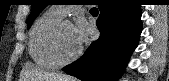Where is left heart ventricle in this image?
Masks as SVG:
<instances>
[{"label": "left heart ventricle", "mask_w": 169, "mask_h": 81, "mask_svg": "<svg viewBox=\"0 0 169 81\" xmlns=\"http://www.w3.org/2000/svg\"><path fill=\"white\" fill-rule=\"evenodd\" d=\"M58 44L59 50L64 57H69L78 50L79 46L73 38L71 24L65 23L62 25L59 33Z\"/></svg>", "instance_id": "1"}]
</instances>
